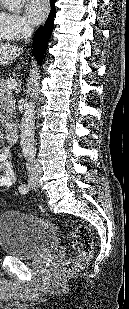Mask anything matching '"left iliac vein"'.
<instances>
[{
    "mask_svg": "<svg viewBox=\"0 0 129 309\" xmlns=\"http://www.w3.org/2000/svg\"><path fill=\"white\" fill-rule=\"evenodd\" d=\"M32 189L37 190L38 189V185L32 187Z\"/></svg>",
    "mask_w": 129,
    "mask_h": 309,
    "instance_id": "obj_1",
    "label": "left iliac vein"
}]
</instances>
